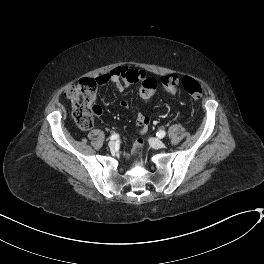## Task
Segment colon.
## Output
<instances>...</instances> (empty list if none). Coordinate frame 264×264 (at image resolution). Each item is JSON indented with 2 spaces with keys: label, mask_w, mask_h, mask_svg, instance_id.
Wrapping results in <instances>:
<instances>
[{
  "label": "colon",
  "mask_w": 264,
  "mask_h": 264,
  "mask_svg": "<svg viewBox=\"0 0 264 264\" xmlns=\"http://www.w3.org/2000/svg\"><path fill=\"white\" fill-rule=\"evenodd\" d=\"M159 82L171 95L178 89L179 80L176 75H166L157 80L147 77L140 82V96L143 99H151ZM181 85L193 99H199L203 95L200 83L191 76H184ZM97 94V82L94 79H81L76 83L66 86L64 96L72 103V116L77 126L82 130H88L93 126L94 116L98 113L95 99Z\"/></svg>",
  "instance_id": "1"
}]
</instances>
